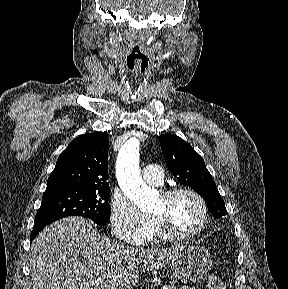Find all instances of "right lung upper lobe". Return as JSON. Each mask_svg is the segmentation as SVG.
Masks as SVG:
<instances>
[{
	"label": "right lung upper lobe",
	"instance_id": "cb5924a9",
	"mask_svg": "<svg viewBox=\"0 0 288 289\" xmlns=\"http://www.w3.org/2000/svg\"><path fill=\"white\" fill-rule=\"evenodd\" d=\"M108 137L106 133H86L75 138L58 157L46 190L109 187Z\"/></svg>",
	"mask_w": 288,
	"mask_h": 289
}]
</instances>
